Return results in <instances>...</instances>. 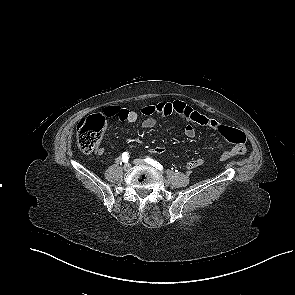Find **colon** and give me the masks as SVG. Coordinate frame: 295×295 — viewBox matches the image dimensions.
<instances>
[{
  "instance_id": "1",
  "label": "colon",
  "mask_w": 295,
  "mask_h": 295,
  "mask_svg": "<svg viewBox=\"0 0 295 295\" xmlns=\"http://www.w3.org/2000/svg\"><path fill=\"white\" fill-rule=\"evenodd\" d=\"M104 127L105 119L99 114L80 120L77 125V144L80 150L85 153L92 152L99 143ZM222 134L233 145L230 151L221 154L222 160H228L244 154L246 137L242 131L227 126L223 127ZM152 150L154 153L159 154L164 149L156 147Z\"/></svg>"
}]
</instances>
